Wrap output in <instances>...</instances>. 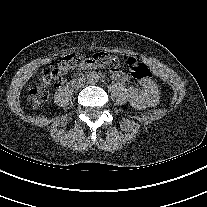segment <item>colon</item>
<instances>
[{
    "instance_id": "obj_1",
    "label": "colon",
    "mask_w": 207,
    "mask_h": 207,
    "mask_svg": "<svg viewBox=\"0 0 207 207\" xmlns=\"http://www.w3.org/2000/svg\"><path fill=\"white\" fill-rule=\"evenodd\" d=\"M117 64V59L107 52H96L90 55H66L58 60L52 66L50 72L45 75L41 82L30 89L29 99L33 106H42L48 98L47 88L53 79L61 77L70 70L90 67H108L114 68ZM128 67L131 75L139 80L148 79L151 76V71L147 65L136 61L134 58L128 60Z\"/></svg>"
}]
</instances>
